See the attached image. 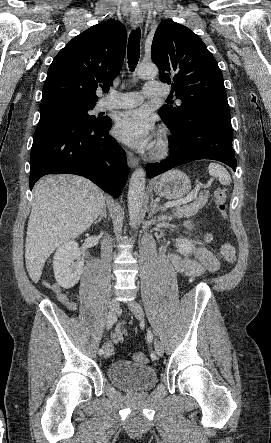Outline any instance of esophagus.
<instances>
[{"mask_svg":"<svg viewBox=\"0 0 271 443\" xmlns=\"http://www.w3.org/2000/svg\"><path fill=\"white\" fill-rule=\"evenodd\" d=\"M130 22L131 25L135 28L143 23V17L142 15H131ZM127 161L130 168H134L138 164V158L131 152H127Z\"/></svg>","mask_w":271,"mask_h":443,"instance_id":"obj_1","label":"esophagus"}]
</instances>
